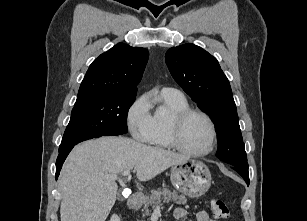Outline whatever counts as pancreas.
Wrapping results in <instances>:
<instances>
[{
  "mask_svg": "<svg viewBox=\"0 0 307 221\" xmlns=\"http://www.w3.org/2000/svg\"><path fill=\"white\" fill-rule=\"evenodd\" d=\"M161 197L164 202L173 201L176 204H186L187 199L183 195H178L176 191H171L167 188H159L157 190H152L149 196L144 198V207L142 209L143 217L150 215L149 207L153 209L161 203Z\"/></svg>",
  "mask_w": 307,
  "mask_h": 221,
  "instance_id": "obj_1",
  "label": "pancreas"
}]
</instances>
